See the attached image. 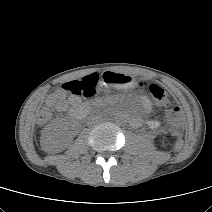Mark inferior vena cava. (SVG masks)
I'll list each match as a JSON object with an SVG mask.
<instances>
[{"label": "inferior vena cava", "mask_w": 212, "mask_h": 212, "mask_svg": "<svg viewBox=\"0 0 212 212\" xmlns=\"http://www.w3.org/2000/svg\"><path fill=\"white\" fill-rule=\"evenodd\" d=\"M98 121V118L95 116H91L88 118V123L93 124L94 122Z\"/></svg>", "instance_id": "inferior-vena-cava-1"}]
</instances>
